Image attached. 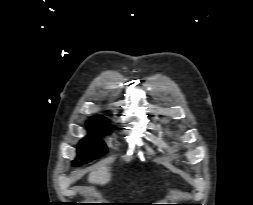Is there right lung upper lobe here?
<instances>
[{
  "mask_svg": "<svg viewBox=\"0 0 253 205\" xmlns=\"http://www.w3.org/2000/svg\"><path fill=\"white\" fill-rule=\"evenodd\" d=\"M95 119H98V120H105V118H103V117H96Z\"/></svg>",
  "mask_w": 253,
  "mask_h": 205,
  "instance_id": "cb5924a9",
  "label": "right lung upper lobe"
}]
</instances>
